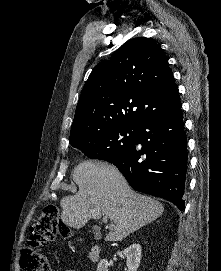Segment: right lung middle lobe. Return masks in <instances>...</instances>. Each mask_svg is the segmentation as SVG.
I'll use <instances>...</instances> for the list:
<instances>
[{"mask_svg":"<svg viewBox=\"0 0 221 271\" xmlns=\"http://www.w3.org/2000/svg\"><path fill=\"white\" fill-rule=\"evenodd\" d=\"M136 134L137 127L114 126L74 139L70 144L81 150L88 158L113 163L134 146Z\"/></svg>","mask_w":221,"mask_h":271,"instance_id":"right-lung-middle-lobe-1","label":"right lung middle lobe"}]
</instances>
